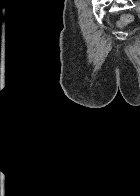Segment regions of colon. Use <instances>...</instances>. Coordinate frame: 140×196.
<instances>
[{
  "instance_id": "5ec220e1",
  "label": "colon",
  "mask_w": 140,
  "mask_h": 196,
  "mask_svg": "<svg viewBox=\"0 0 140 196\" xmlns=\"http://www.w3.org/2000/svg\"><path fill=\"white\" fill-rule=\"evenodd\" d=\"M131 20H132V17L130 15H125L121 19V24H127L131 22Z\"/></svg>"
}]
</instances>
